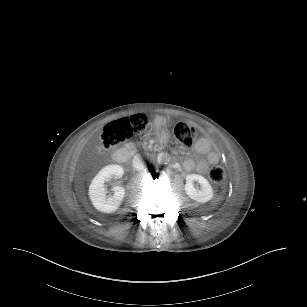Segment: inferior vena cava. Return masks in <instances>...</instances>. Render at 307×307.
<instances>
[{"label": "inferior vena cava", "mask_w": 307, "mask_h": 307, "mask_svg": "<svg viewBox=\"0 0 307 307\" xmlns=\"http://www.w3.org/2000/svg\"><path fill=\"white\" fill-rule=\"evenodd\" d=\"M132 164L134 168L138 170H143L146 168L144 162L142 161L141 157L139 155L134 156Z\"/></svg>", "instance_id": "602c4592"}]
</instances>
